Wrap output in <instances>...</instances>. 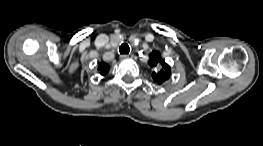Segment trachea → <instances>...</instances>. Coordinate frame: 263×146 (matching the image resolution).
<instances>
[{
	"label": "trachea",
	"mask_w": 263,
	"mask_h": 146,
	"mask_svg": "<svg viewBox=\"0 0 263 146\" xmlns=\"http://www.w3.org/2000/svg\"><path fill=\"white\" fill-rule=\"evenodd\" d=\"M119 52L120 54H128L130 52V47L128 46V44L123 43L119 47Z\"/></svg>",
	"instance_id": "3493384b"
}]
</instances>
